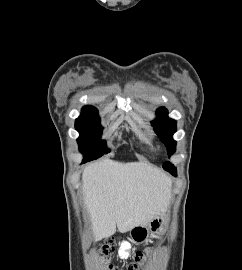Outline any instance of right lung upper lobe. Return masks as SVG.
<instances>
[{"label":"right lung upper lobe","instance_id":"right-lung-upper-lobe-1","mask_svg":"<svg viewBox=\"0 0 242 270\" xmlns=\"http://www.w3.org/2000/svg\"><path fill=\"white\" fill-rule=\"evenodd\" d=\"M94 113H97V109L93 106H84L82 108V114L81 116H85V115H91V114H94Z\"/></svg>","mask_w":242,"mask_h":270}]
</instances>
